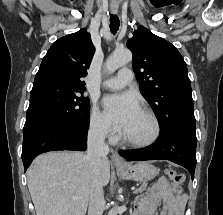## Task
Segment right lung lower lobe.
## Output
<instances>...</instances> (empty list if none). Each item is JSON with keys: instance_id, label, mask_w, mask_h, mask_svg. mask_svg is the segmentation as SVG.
<instances>
[{"instance_id": "right-lung-lower-lobe-1", "label": "right lung lower lobe", "mask_w": 223, "mask_h": 215, "mask_svg": "<svg viewBox=\"0 0 223 215\" xmlns=\"http://www.w3.org/2000/svg\"><path fill=\"white\" fill-rule=\"evenodd\" d=\"M87 133L88 130L64 126H47L24 132L22 148L24 171L36 156L44 152L86 150Z\"/></svg>"}]
</instances>
